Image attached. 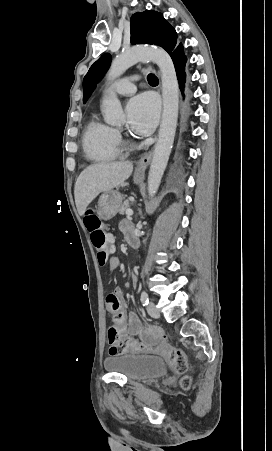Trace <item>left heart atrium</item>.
Listing matches in <instances>:
<instances>
[{
    "mask_svg": "<svg viewBox=\"0 0 272 451\" xmlns=\"http://www.w3.org/2000/svg\"><path fill=\"white\" fill-rule=\"evenodd\" d=\"M126 113L129 129L138 135H148L157 123L159 104L152 95L143 94L129 101Z\"/></svg>",
    "mask_w": 272,
    "mask_h": 451,
    "instance_id": "obj_1",
    "label": "left heart atrium"
}]
</instances>
